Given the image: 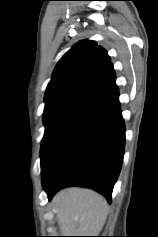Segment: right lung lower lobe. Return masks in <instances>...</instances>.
Wrapping results in <instances>:
<instances>
[{
	"label": "right lung lower lobe",
	"mask_w": 158,
	"mask_h": 237,
	"mask_svg": "<svg viewBox=\"0 0 158 237\" xmlns=\"http://www.w3.org/2000/svg\"><path fill=\"white\" fill-rule=\"evenodd\" d=\"M115 84L80 105L42 141V186L88 187L111 203L124 155L125 127Z\"/></svg>",
	"instance_id": "98d812e1"
}]
</instances>
